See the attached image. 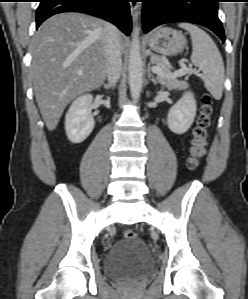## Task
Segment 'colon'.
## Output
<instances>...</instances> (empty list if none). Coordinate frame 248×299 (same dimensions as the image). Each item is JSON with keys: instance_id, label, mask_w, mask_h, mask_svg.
<instances>
[{"instance_id": "obj_1", "label": "colon", "mask_w": 248, "mask_h": 299, "mask_svg": "<svg viewBox=\"0 0 248 299\" xmlns=\"http://www.w3.org/2000/svg\"><path fill=\"white\" fill-rule=\"evenodd\" d=\"M213 100L208 94L203 95L200 114L197 125L194 128L193 139L190 147V156L187 161V167L195 170L200 163V159L204 156L209 138V130L213 119ZM125 239H135L137 234L131 229L123 232Z\"/></svg>"}]
</instances>
